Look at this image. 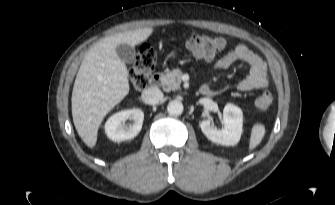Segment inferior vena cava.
Returning <instances> with one entry per match:
<instances>
[{
    "label": "inferior vena cava",
    "instance_id": "1",
    "mask_svg": "<svg viewBox=\"0 0 335 205\" xmlns=\"http://www.w3.org/2000/svg\"><path fill=\"white\" fill-rule=\"evenodd\" d=\"M142 100L147 104H157L163 100V93L157 87H149L142 92Z\"/></svg>",
    "mask_w": 335,
    "mask_h": 205
}]
</instances>
